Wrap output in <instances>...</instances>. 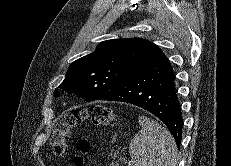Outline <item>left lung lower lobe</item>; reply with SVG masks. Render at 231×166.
I'll return each mask as SVG.
<instances>
[{"label": "left lung lower lobe", "mask_w": 231, "mask_h": 166, "mask_svg": "<svg viewBox=\"0 0 231 166\" xmlns=\"http://www.w3.org/2000/svg\"><path fill=\"white\" fill-rule=\"evenodd\" d=\"M98 100L126 102L153 113L168 127L177 146H180L183 128L181 108L173 69L164 53Z\"/></svg>", "instance_id": "left-lung-lower-lobe-1"}]
</instances>
